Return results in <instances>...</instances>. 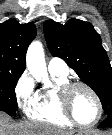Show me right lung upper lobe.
<instances>
[{"mask_svg":"<svg viewBox=\"0 0 112 135\" xmlns=\"http://www.w3.org/2000/svg\"><path fill=\"white\" fill-rule=\"evenodd\" d=\"M35 36L32 22L20 24L9 19L0 24V73H23L26 51Z\"/></svg>","mask_w":112,"mask_h":135,"instance_id":"obj_1","label":"right lung upper lobe"}]
</instances>
